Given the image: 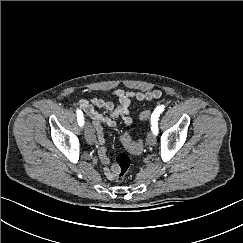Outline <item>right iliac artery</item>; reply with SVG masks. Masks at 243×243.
<instances>
[{
	"label": "right iliac artery",
	"instance_id": "right-iliac-artery-1",
	"mask_svg": "<svg viewBox=\"0 0 243 243\" xmlns=\"http://www.w3.org/2000/svg\"><path fill=\"white\" fill-rule=\"evenodd\" d=\"M78 124L82 127L84 125L83 112L80 109L76 110Z\"/></svg>",
	"mask_w": 243,
	"mask_h": 243
}]
</instances>
